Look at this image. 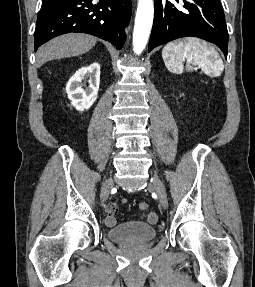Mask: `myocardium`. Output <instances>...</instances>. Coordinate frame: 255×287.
Listing matches in <instances>:
<instances>
[{"label": "myocardium", "mask_w": 255, "mask_h": 287, "mask_svg": "<svg viewBox=\"0 0 255 287\" xmlns=\"http://www.w3.org/2000/svg\"><path fill=\"white\" fill-rule=\"evenodd\" d=\"M144 48H165V47H144Z\"/></svg>", "instance_id": "1"}]
</instances>
